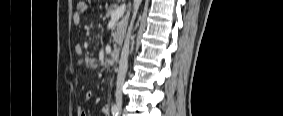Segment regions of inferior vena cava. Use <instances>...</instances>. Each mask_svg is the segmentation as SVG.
<instances>
[{
	"label": "inferior vena cava",
	"instance_id": "inferior-vena-cava-1",
	"mask_svg": "<svg viewBox=\"0 0 283 116\" xmlns=\"http://www.w3.org/2000/svg\"><path fill=\"white\" fill-rule=\"evenodd\" d=\"M141 0H134L133 8H134V16L136 15L138 8L140 6ZM131 28H129L124 45L122 48L121 58L119 62V68H118V74H117V87H116V103L121 104L122 103V86L125 80V76L128 69V56H129V43H130V37H131Z\"/></svg>",
	"mask_w": 283,
	"mask_h": 116
}]
</instances>
